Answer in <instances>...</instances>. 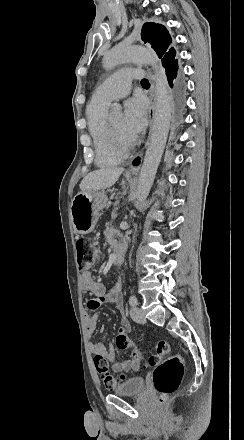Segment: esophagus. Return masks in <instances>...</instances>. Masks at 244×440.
Masks as SVG:
<instances>
[{
	"instance_id": "34e87169",
	"label": "esophagus",
	"mask_w": 244,
	"mask_h": 440,
	"mask_svg": "<svg viewBox=\"0 0 244 440\" xmlns=\"http://www.w3.org/2000/svg\"><path fill=\"white\" fill-rule=\"evenodd\" d=\"M155 104H156L155 96L152 95L151 96V100H150V105H149V108H148V112H149V132H148V138L146 140L144 148L147 147V145L149 143V140H150V137H151V134H152V128H153V122H154V113H155ZM141 158H142V154H141ZM136 170L137 169L134 168V167H130V169H129V171L131 173H135Z\"/></svg>"
}]
</instances>
